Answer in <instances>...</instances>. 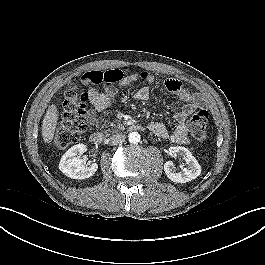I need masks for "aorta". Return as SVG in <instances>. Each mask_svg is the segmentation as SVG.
<instances>
[{
  "label": "aorta",
  "instance_id": "obj_1",
  "mask_svg": "<svg viewBox=\"0 0 265 265\" xmlns=\"http://www.w3.org/2000/svg\"><path fill=\"white\" fill-rule=\"evenodd\" d=\"M141 136L138 132H131L128 135V140L132 144H137L140 142Z\"/></svg>",
  "mask_w": 265,
  "mask_h": 265
}]
</instances>
